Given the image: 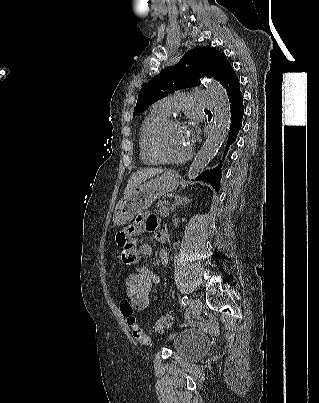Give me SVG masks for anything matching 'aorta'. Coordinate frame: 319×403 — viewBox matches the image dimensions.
Instances as JSON below:
<instances>
[{
    "mask_svg": "<svg viewBox=\"0 0 319 403\" xmlns=\"http://www.w3.org/2000/svg\"><path fill=\"white\" fill-rule=\"evenodd\" d=\"M205 86L214 103V124L206 142L189 167V180L195 179L216 155L227 137L230 126V102L226 90L214 79H208Z\"/></svg>",
    "mask_w": 319,
    "mask_h": 403,
    "instance_id": "aorta-1",
    "label": "aorta"
}]
</instances>
